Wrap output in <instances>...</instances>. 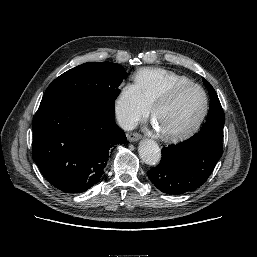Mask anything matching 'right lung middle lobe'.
I'll use <instances>...</instances> for the list:
<instances>
[{
	"instance_id": "right-lung-middle-lobe-1",
	"label": "right lung middle lobe",
	"mask_w": 257,
	"mask_h": 257,
	"mask_svg": "<svg viewBox=\"0 0 257 257\" xmlns=\"http://www.w3.org/2000/svg\"><path fill=\"white\" fill-rule=\"evenodd\" d=\"M125 69L112 62L84 63L57 77L46 89L40 105L71 98L96 99L114 107Z\"/></svg>"
}]
</instances>
